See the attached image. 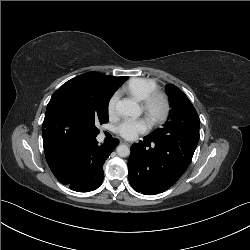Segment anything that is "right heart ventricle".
Listing matches in <instances>:
<instances>
[{"label": "right heart ventricle", "instance_id": "right-heart-ventricle-1", "mask_svg": "<svg viewBox=\"0 0 250 250\" xmlns=\"http://www.w3.org/2000/svg\"><path fill=\"white\" fill-rule=\"evenodd\" d=\"M158 84L151 78H133L129 80L123 87L125 92H128L139 101H143L149 94L156 91Z\"/></svg>", "mask_w": 250, "mask_h": 250}]
</instances>
